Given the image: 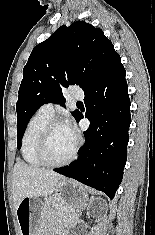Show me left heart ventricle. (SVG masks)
I'll use <instances>...</instances> for the list:
<instances>
[{
    "label": "left heart ventricle",
    "instance_id": "b2bd125f",
    "mask_svg": "<svg viewBox=\"0 0 155 235\" xmlns=\"http://www.w3.org/2000/svg\"><path fill=\"white\" fill-rule=\"evenodd\" d=\"M76 139L66 125L56 126L50 135L47 145V156L52 161H61L72 152Z\"/></svg>",
    "mask_w": 155,
    "mask_h": 235
}]
</instances>
